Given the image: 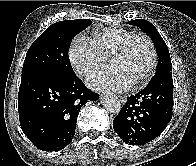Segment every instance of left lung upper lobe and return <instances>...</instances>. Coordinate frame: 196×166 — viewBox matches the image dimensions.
I'll list each match as a JSON object with an SVG mask.
<instances>
[{
    "label": "left lung upper lobe",
    "instance_id": "5c2ea615",
    "mask_svg": "<svg viewBox=\"0 0 196 166\" xmlns=\"http://www.w3.org/2000/svg\"><path fill=\"white\" fill-rule=\"evenodd\" d=\"M129 24L140 27L153 40L158 55L156 75L172 71L167 45L153 24L144 19L131 20Z\"/></svg>",
    "mask_w": 196,
    "mask_h": 166
}]
</instances>
